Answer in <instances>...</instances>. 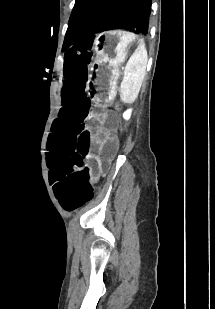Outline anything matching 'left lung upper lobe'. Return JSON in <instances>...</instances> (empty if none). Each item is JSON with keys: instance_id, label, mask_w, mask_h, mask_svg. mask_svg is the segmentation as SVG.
I'll return each mask as SVG.
<instances>
[{"instance_id": "5c2ea615", "label": "left lung upper lobe", "mask_w": 215, "mask_h": 309, "mask_svg": "<svg viewBox=\"0 0 215 309\" xmlns=\"http://www.w3.org/2000/svg\"><path fill=\"white\" fill-rule=\"evenodd\" d=\"M150 13L151 0H76L63 48L111 29L147 34Z\"/></svg>"}]
</instances>
